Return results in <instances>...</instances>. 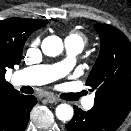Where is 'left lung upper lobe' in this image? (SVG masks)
<instances>
[{
	"label": "left lung upper lobe",
	"instance_id": "obj_1",
	"mask_svg": "<svg viewBox=\"0 0 131 131\" xmlns=\"http://www.w3.org/2000/svg\"><path fill=\"white\" fill-rule=\"evenodd\" d=\"M95 28L101 48L86 84L96 90L93 108L119 127L131 111V43L111 25Z\"/></svg>",
	"mask_w": 131,
	"mask_h": 131
}]
</instances>
